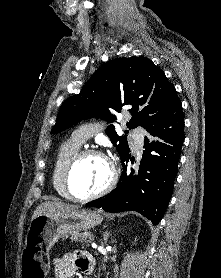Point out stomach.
Masks as SVG:
<instances>
[{"instance_id":"0dacf381","label":"stomach","mask_w":221,"mask_h":278,"mask_svg":"<svg viewBox=\"0 0 221 278\" xmlns=\"http://www.w3.org/2000/svg\"><path fill=\"white\" fill-rule=\"evenodd\" d=\"M104 216L88 209H74L65 213L42 214L32 219L20 261L22 278H47L50 269L49 250L70 233L99 225Z\"/></svg>"}]
</instances>
